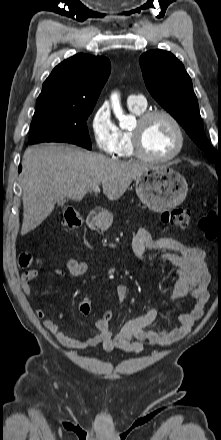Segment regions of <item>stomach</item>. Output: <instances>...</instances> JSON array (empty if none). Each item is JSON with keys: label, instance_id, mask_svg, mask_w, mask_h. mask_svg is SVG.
<instances>
[{"label": "stomach", "instance_id": "0dacf381", "mask_svg": "<svg viewBox=\"0 0 221 440\" xmlns=\"http://www.w3.org/2000/svg\"><path fill=\"white\" fill-rule=\"evenodd\" d=\"M139 199L151 210L164 212L180 205L188 191L186 179L166 165H152L135 178ZM111 216L97 221L99 227H107Z\"/></svg>", "mask_w": 221, "mask_h": 440}]
</instances>
